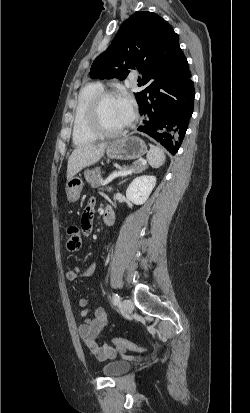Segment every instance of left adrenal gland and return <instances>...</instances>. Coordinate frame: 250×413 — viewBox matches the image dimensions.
Instances as JSON below:
<instances>
[{"instance_id": "a2214340", "label": "left adrenal gland", "mask_w": 250, "mask_h": 413, "mask_svg": "<svg viewBox=\"0 0 250 413\" xmlns=\"http://www.w3.org/2000/svg\"><path fill=\"white\" fill-rule=\"evenodd\" d=\"M126 180H127V179L122 180V181L119 183V185L122 184V183H124Z\"/></svg>"}]
</instances>
